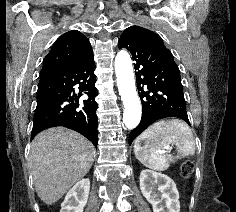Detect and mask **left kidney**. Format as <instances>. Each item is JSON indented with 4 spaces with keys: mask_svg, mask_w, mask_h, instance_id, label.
Instances as JSON below:
<instances>
[{
    "mask_svg": "<svg viewBox=\"0 0 236 212\" xmlns=\"http://www.w3.org/2000/svg\"><path fill=\"white\" fill-rule=\"evenodd\" d=\"M140 189L153 212H180L179 192L174 181L162 173L142 170Z\"/></svg>",
    "mask_w": 236,
    "mask_h": 212,
    "instance_id": "left-kidney-1",
    "label": "left kidney"
}]
</instances>
